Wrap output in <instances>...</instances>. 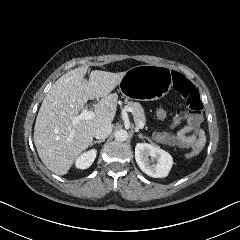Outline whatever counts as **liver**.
Wrapping results in <instances>:
<instances>
[{"mask_svg":"<svg viewBox=\"0 0 240 240\" xmlns=\"http://www.w3.org/2000/svg\"><path fill=\"white\" fill-rule=\"evenodd\" d=\"M88 66L62 75L42 101L34 127V144L43 164L53 173L64 175L74 160L93 141L97 128L113 121L117 96L110 94L125 72L93 70L87 81ZM114 96V98H112ZM101 98L94 105L95 117L77 125L71 118L79 114L88 100Z\"/></svg>","mask_w":240,"mask_h":240,"instance_id":"6515ba94","label":"liver"}]
</instances>
